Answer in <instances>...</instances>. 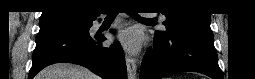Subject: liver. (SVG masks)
I'll list each match as a JSON object with an SVG mask.
<instances>
[{"label": "liver", "instance_id": "liver-1", "mask_svg": "<svg viewBox=\"0 0 255 79\" xmlns=\"http://www.w3.org/2000/svg\"><path fill=\"white\" fill-rule=\"evenodd\" d=\"M36 79H100V77L79 65L57 63L44 68Z\"/></svg>", "mask_w": 255, "mask_h": 79}]
</instances>
